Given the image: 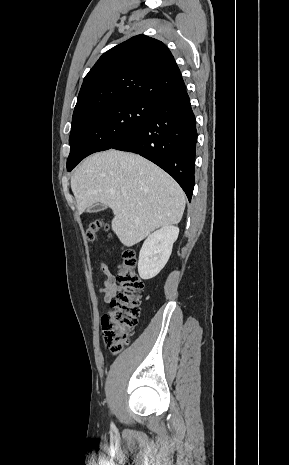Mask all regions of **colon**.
I'll list each match as a JSON object with an SVG mask.
<instances>
[{"label":"colon","mask_w":289,"mask_h":465,"mask_svg":"<svg viewBox=\"0 0 289 465\" xmlns=\"http://www.w3.org/2000/svg\"><path fill=\"white\" fill-rule=\"evenodd\" d=\"M103 227L100 220L90 222L84 232L86 241L94 242ZM136 264L135 252L124 250L116 278L121 291L110 302L101 319L104 345L113 354L119 353L130 342L138 324L143 282L136 273Z\"/></svg>","instance_id":"1"}]
</instances>
